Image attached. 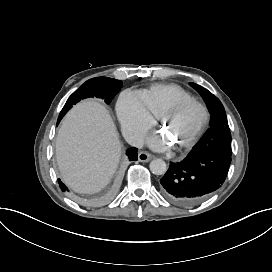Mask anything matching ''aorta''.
<instances>
[{"mask_svg": "<svg viewBox=\"0 0 272 272\" xmlns=\"http://www.w3.org/2000/svg\"><path fill=\"white\" fill-rule=\"evenodd\" d=\"M150 171L155 175H164L167 172V165L162 159H155L150 163Z\"/></svg>", "mask_w": 272, "mask_h": 272, "instance_id": "obj_1", "label": "aorta"}]
</instances>
